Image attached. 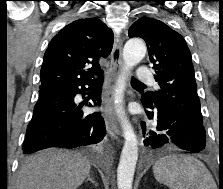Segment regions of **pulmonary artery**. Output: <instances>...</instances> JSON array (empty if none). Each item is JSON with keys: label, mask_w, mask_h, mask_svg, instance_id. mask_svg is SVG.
<instances>
[{"label": "pulmonary artery", "mask_w": 223, "mask_h": 189, "mask_svg": "<svg viewBox=\"0 0 223 189\" xmlns=\"http://www.w3.org/2000/svg\"><path fill=\"white\" fill-rule=\"evenodd\" d=\"M136 78L138 81H141V82H152L153 74L147 68L140 67L139 70L137 71Z\"/></svg>", "instance_id": "e3ab8cb5"}]
</instances>
